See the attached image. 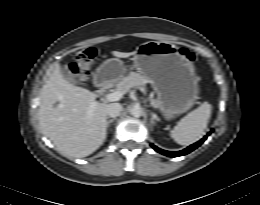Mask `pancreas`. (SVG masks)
<instances>
[{"mask_svg":"<svg viewBox=\"0 0 260 205\" xmlns=\"http://www.w3.org/2000/svg\"><path fill=\"white\" fill-rule=\"evenodd\" d=\"M147 81L148 80L144 75L136 72H130L128 76L123 77L121 81L117 82L116 91H120L125 94L133 87L144 86ZM151 101L155 107H159L158 100L151 99Z\"/></svg>","mask_w":260,"mask_h":205,"instance_id":"pancreas-1","label":"pancreas"}]
</instances>
